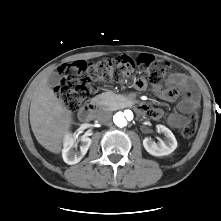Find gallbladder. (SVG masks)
<instances>
[{"mask_svg":"<svg viewBox=\"0 0 221 221\" xmlns=\"http://www.w3.org/2000/svg\"><path fill=\"white\" fill-rule=\"evenodd\" d=\"M60 81H61V76L57 72H52L48 76V85L51 86V87L59 85Z\"/></svg>","mask_w":221,"mask_h":221,"instance_id":"obj_1","label":"gallbladder"}]
</instances>
